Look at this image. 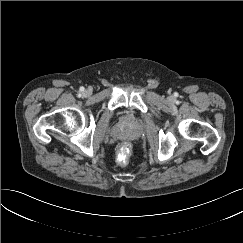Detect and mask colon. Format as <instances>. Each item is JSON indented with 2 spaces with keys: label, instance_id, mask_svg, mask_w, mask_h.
Instances as JSON below:
<instances>
[{
  "label": "colon",
  "instance_id": "colon-1",
  "mask_svg": "<svg viewBox=\"0 0 243 243\" xmlns=\"http://www.w3.org/2000/svg\"><path fill=\"white\" fill-rule=\"evenodd\" d=\"M132 146L129 142H122L117 149V160L121 165H125L131 155Z\"/></svg>",
  "mask_w": 243,
  "mask_h": 243
}]
</instances>
